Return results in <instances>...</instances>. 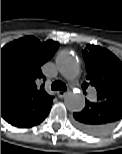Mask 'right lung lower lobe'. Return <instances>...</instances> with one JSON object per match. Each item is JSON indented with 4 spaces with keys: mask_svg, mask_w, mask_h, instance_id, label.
Here are the masks:
<instances>
[{
    "mask_svg": "<svg viewBox=\"0 0 122 154\" xmlns=\"http://www.w3.org/2000/svg\"><path fill=\"white\" fill-rule=\"evenodd\" d=\"M49 111L47 113H45L44 115H41V116H39V117H37L35 119H32V120L28 121L27 123L22 124V125H20L18 127L19 128H27V127H32V126H35V125L41 123L47 117Z\"/></svg>",
    "mask_w": 122,
    "mask_h": 154,
    "instance_id": "1",
    "label": "right lung lower lobe"
}]
</instances>
